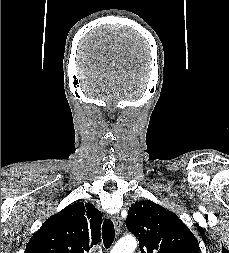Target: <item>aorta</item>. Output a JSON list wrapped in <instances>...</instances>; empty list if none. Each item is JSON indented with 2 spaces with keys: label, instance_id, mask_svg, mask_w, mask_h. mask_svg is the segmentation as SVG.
I'll use <instances>...</instances> for the list:
<instances>
[{
  "label": "aorta",
  "instance_id": "762f6f07",
  "mask_svg": "<svg viewBox=\"0 0 229 253\" xmlns=\"http://www.w3.org/2000/svg\"><path fill=\"white\" fill-rule=\"evenodd\" d=\"M136 247V240L134 238L127 237L118 241L110 253H133Z\"/></svg>",
  "mask_w": 229,
  "mask_h": 253
}]
</instances>
